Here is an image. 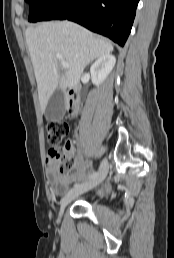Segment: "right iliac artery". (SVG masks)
Instances as JSON below:
<instances>
[{
  "label": "right iliac artery",
  "mask_w": 174,
  "mask_h": 258,
  "mask_svg": "<svg viewBox=\"0 0 174 258\" xmlns=\"http://www.w3.org/2000/svg\"><path fill=\"white\" fill-rule=\"evenodd\" d=\"M98 175V172H94V173H92L91 175H89V179H93V178H95L96 176Z\"/></svg>",
  "instance_id": "right-iliac-artery-1"
}]
</instances>
